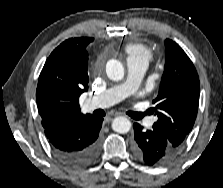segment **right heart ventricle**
I'll use <instances>...</instances> for the list:
<instances>
[{"label": "right heart ventricle", "instance_id": "e07e8e85", "mask_svg": "<svg viewBox=\"0 0 223 188\" xmlns=\"http://www.w3.org/2000/svg\"><path fill=\"white\" fill-rule=\"evenodd\" d=\"M128 59H142L149 63L153 57L152 51L140 43H128L125 46Z\"/></svg>", "mask_w": 223, "mask_h": 188}]
</instances>
